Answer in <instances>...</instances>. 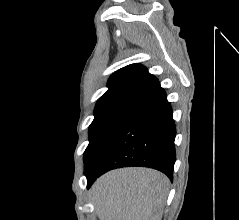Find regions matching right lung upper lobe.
<instances>
[{
  "label": "right lung upper lobe",
  "mask_w": 239,
  "mask_h": 220,
  "mask_svg": "<svg viewBox=\"0 0 239 220\" xmlns=\"http://www.w3.org/2000/svg\"><path fill=\"white\" fill-rule=\"evenodd\" d=\"M160 86L158 79L140 64L116 71L108 81V91L99 98L94 114L123 106H132Z\"/></svg>",
  "instance_id": "right-lung-upper-lobe-1"
}]
</instances>
